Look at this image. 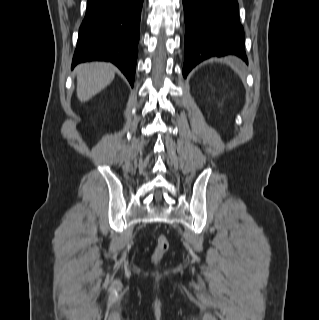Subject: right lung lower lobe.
<instances>
[{"mask_svg": "<svg viewBox=\"0 0 319 320\" xmlns=\"http://www.w3.org/2000/svg\"><path fill=\"white\" fill-rule=\"evenodd\" d=\"M144 0H87L72 67L80 62L114 63L133 86Z\"/></svg>", "mask_w": 319, "mask_h": 320, "instance_id": "obj_1", "label": "right lung lower lobe"}]
</instances>
